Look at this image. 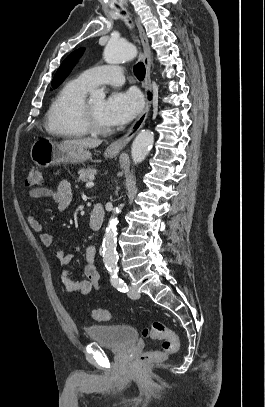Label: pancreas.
Here are the masks:
<instances>
[{
	"label": "pancreas",
	"mask_w": 265,
	"mask_h": 407,
	"mask_svg": "<svg viewBox=\"0 0 265 407\" xmlns=\"http://www.w3.org/2000/svg\"><path fill=\"white\" fill-rule=\"evenodd\" d=\"M79 174V179L78 181H82V182H87L89 180H92L94 175L97 174V169L95 168H86V169H81L78 172Z\"/></svg>",
	"instance_id": "pancreas-1"
}]
</instances>
